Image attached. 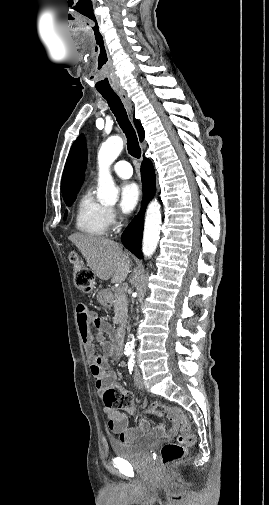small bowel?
Here are the masks:
<instances>
[{
	"label": "small bowel",
	"mask_w": 269,
	"mask_h": 505,
	"mask_svg": "<svg viewBox=\"0 0 269 505\" xmlns=\"http://www.w3.org/2000/svg\"><path fill=\"white\" fill-rule=\"evenodd\" d=\"M77 320L85 353L90 363V372L95 380V387L98 393L103 395L104 391L114 384L116 377L115 373L109 369L107 358H120L121 348L115 341L107 339L114 337L113 327L88 307L79 305ZM93 328L97 330L96 339L101 346L100 355L95 354ZM104 411L108 419V428L119 436L121 442H135L151 431L150 422L144 417H140L136 426L129 427L128 418L125 414L106 406ZM177 431V424H174L169 430L163 425H157L154 428V432L159 436H172Z\"/></svg>",
	"instance_id": "obj_1"
}]
</instances>
